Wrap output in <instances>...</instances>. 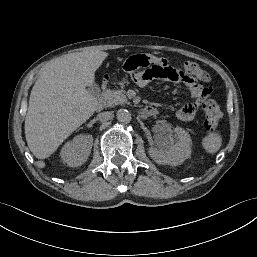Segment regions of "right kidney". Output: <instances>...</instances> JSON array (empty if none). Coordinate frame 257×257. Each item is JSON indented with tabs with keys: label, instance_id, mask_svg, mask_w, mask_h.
I'll return each mask as SVG.
<instances>
[{
	"label": "right kidney",
	"instance_id": "obj_1",
	"mask_svg": "<svg viewBox=\"0 0 257 257\" xmlns=\"http://www.w3.org/2000/svg\"><path fill=\"white\" fill-rule=\"evenodd\" d=\"M93 145L91 135H78L72 141L67 142L61 149L60 156L63 163L70 167L81 166L87 161Z\"/></svg>",
	"mask_w": 257,
	"mask_h": 257
}]
</instances>
